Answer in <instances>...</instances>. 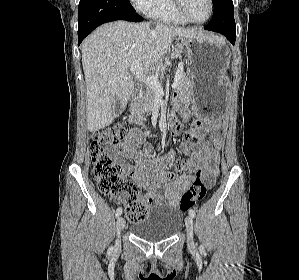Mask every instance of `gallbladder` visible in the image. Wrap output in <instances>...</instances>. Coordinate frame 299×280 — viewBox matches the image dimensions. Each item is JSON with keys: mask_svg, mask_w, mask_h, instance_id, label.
Returning <instances> with one entry per match:
<instances>
[{"mask_svg": "<svg viewBox=\"0 0 299 280\" xmlns=\"http://www.w3.org/2000/svg\"><path fill=\"white\" fill-rule=\"evenodd\" d=\"M120 108H121V101L119 99H116V101L113 104V112L114 114H116V117L119 116Z\"/></svg>", "mask_w": 299, "mask_h": 280, "instance_id": "bac80fb5", "label": "gallbladder"}]
</instances>
